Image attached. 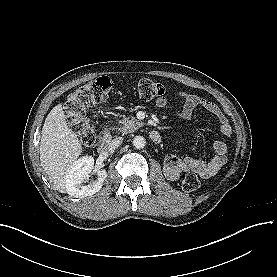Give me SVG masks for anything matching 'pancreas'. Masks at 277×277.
<instances>
[{
    "instance_id": "cf45deb5",
    "label": "pancreas",
    "mask_w": 277,
    "mask_h": 277,
    "mask_svg": "<svg viewBox=\"0 0 277 277\" xmlns=\"http://www.w3.org/2000/svg\"><path fill=\"white\" fill-rule=\"evenodd\" d=\"M138 125V121L134 117H128L122 119L121 127L119 131L122 133H127L132 131Z\"/></svg>"
}]
</instances>
